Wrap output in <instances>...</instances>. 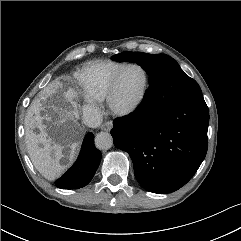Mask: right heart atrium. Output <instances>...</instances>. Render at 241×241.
I'll return each instance as SVG.
<instances>
[{"label": "right heart atrium", "instance_id": "1", "mask_svg": "<svg viewBox=\"0 0 241 241\" xmlns=\"http://www.w3.org/2000/svg\"><path fill=\"white\" fill-rule=\"evenodd\" d=\"M83 114H84L85 119L89 123H93L95 121V119L99 115V108H98L95 100H93L89 97L85 98Z\"/></svg>", "mask_w": 241, "mask_h": 241}]
</instances>
